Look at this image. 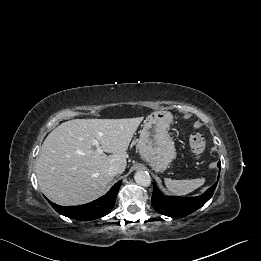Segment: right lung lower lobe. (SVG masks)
<instances>
[{
    "label": "right lung lower lobe",
    "instance_id": "right-lung-lower-lobe-1",
    "mask_svg": "<svg viewBox=\"0 0 261 261\" xmlns=\"http://www.w3.org/2000/svg\"><path fill=\"white\" fill-rule=\"evenodd\" d=\"M121 181L117 182L110 191L101 198L80 206L63 207L49 201L52 207L61 215L78 220H93L108 214L114 207Z\"/></svg>",
    "mask_w": 261,
    "mask_h": 261
}]
</instances>
